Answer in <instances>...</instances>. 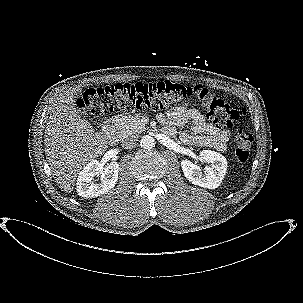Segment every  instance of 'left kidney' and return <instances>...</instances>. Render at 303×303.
<instances>
[{"instance_id": "1", "label": "left kidney", "mask_w": 303, "mask_h": 303, "mask_svg": "<svg viewBox=\"0 0 303 303\" xmlns=\"http://www.w3.org/2000/svg\"><path fill=\"white\" fill-rule=\"evenodd\" d=\"M201 162L209 163L210 165L202 172L200 167L188 160L181 161V167L187 180L192 184L203 188H217L227 171V160L218 152L212 150H202L199 155Z\"/></svg>"}]
</instances>
